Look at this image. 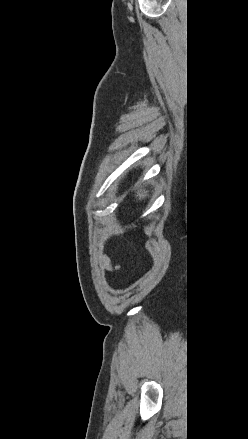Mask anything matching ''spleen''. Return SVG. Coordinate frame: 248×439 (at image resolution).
<instances>
[{"label": "spleen", "mask_w": 248, "mask_h": 439, "mask_svg": "<svg viewBox=\"0 0 248 439\" xmlns=\"http://www.w3.org/2000/svg\"><path fill=\"white\" fill-rule=\"evenodd\" d=\"M147 192H142V193H138L137 196L139 197V199L144 198L146 196Z\"/></svg>", "instance_id": "1"}]
</instances>
